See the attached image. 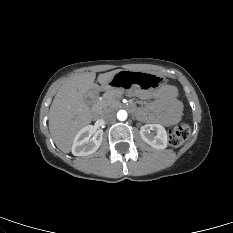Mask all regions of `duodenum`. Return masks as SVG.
<instances>
[{"mask_svg": "<svg viewBox=\"0 0 233 233\" xmlns=\"http://www.w3.org/2000/svg\"><path fill=\"white\" fill-rule=\"evenodd\" d=\"M98 97H99V93L97 91H94L92 94H91V99L93 100L94 102V105H93V108H92V117L93 118H97L98 115H99V106H98Z\"/></svg>", "mask_w": 233, "mask_h": 233, "instance_id": "obj_1", "label": "duodenum"}]
</instances>
